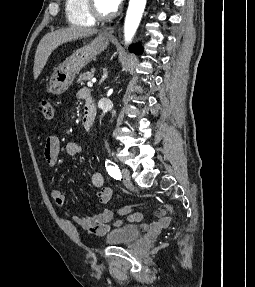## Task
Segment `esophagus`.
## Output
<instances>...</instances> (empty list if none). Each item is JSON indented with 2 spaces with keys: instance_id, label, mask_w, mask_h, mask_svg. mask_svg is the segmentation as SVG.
Returning a JSON list of instances; mask_svg holds the SVG:
<instances>
[{
  "instance_id": "esophagus-1",
  "label": "esophagus",
  "mask_w": 255,
  "mask_h": 287,
  "mask_svg": "<svg viewBox=\"0 0 255 287\" xmlns=\"http://www.w3.org/2000/svg\"><path fill=\"white\" fill-rule=\"evenodd\" d=\"M113 32H114V30L112 27H104L102 34L105 36H112Z\"/></svg>"
}]
</instances>
